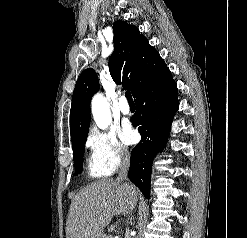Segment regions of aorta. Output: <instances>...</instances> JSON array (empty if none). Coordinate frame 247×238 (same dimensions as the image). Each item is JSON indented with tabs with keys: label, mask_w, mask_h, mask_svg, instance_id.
<instances>
[{
	"label": "aorta",
	"mask_w": 247,
	"mask_h": 238,
	"mask_svg": "<svg viewBox=\"0 0 247 238\" xmlns=\"http://www.w3.org/2000/svg\"><path fill=\"white\" fill-rule=\"evenodd\" d=\"M91 110L96 125L100 129H106L112 121L110 107L107 100L101 94H96L91 103Z\"/></svg>",
	"instance_id": "obj_1"
}]
</instances>
